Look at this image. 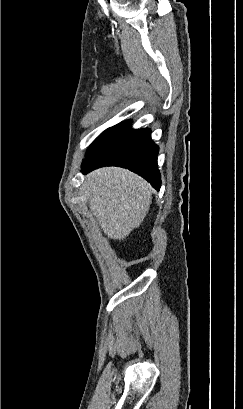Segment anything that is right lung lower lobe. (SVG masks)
<instances>
[{"label": "right lung lower lobe", "instance_id": "1", "mask_svg": "<svg viewBox=\"0 0 243 409\" xmlns=\"http://www.w3.org/2000/svg\"><path fill=\"white\" fill-rule=\"evenodd\" d=\"M150 134V129H132L131 121L108 128L88 148L82 171L87 173L98 167L119 166L139 174L159 190V148Z\"/></svg>", "mask_w": 243, "mask_h": 409}]
</instances>
